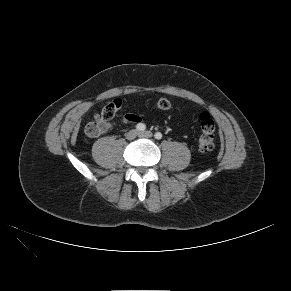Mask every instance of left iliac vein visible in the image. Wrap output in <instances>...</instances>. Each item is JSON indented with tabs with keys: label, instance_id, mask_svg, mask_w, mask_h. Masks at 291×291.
<instances>
[{
	"label": "left iliac vein",
	"instance_id": "1",
	"mask_svg": "<svg viewBox=\"0 0 291 291\" xmlns=\"http://www.w3.org/2000/svg\"><path fill=\"white\" fill-rule=\"evenodd\" d=\"M139 136L142 138H151L153 135L150 131L139 132Z\"/></svg>",
	"mask_w": 291,
	"mask_h": 291
}]
</instances>
